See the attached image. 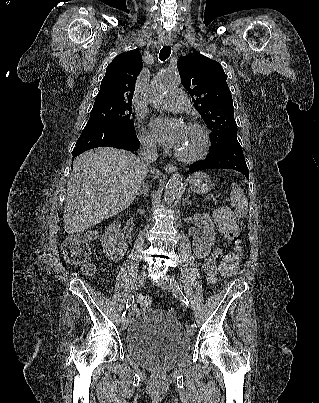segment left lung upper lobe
<instances>
[{
    "instance_id": "left-lung-upper-lobe-1",
    "label": "left lung upper lobe",
    "mask_w": 319,
    "mask_h": 403,
    "mask_svg": "<svg viewBox=\"0 0 319 403\" xmlns=\"http://www.w3.org/2000/svg\"><path fill=\"white\" fill-rule=\"evenodd\" d=\"M178 71L182 85L190 92L196 110L211 130L210 151L237 141L232 95L221 64L194 52L179 58Z\"/></svg>"
}]
</instances>
